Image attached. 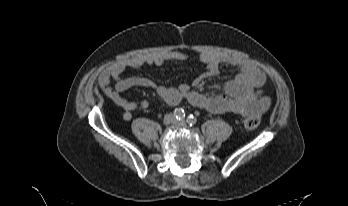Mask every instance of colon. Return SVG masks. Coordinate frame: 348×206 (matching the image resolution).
I'll use <instances>...</instances> for the list:
<instances>
[{
  "label": "colon",
  "mask_w": 348,
  "mask_h": 206,
  "mask_svg": "<svg viewBox=\"0 0 348 206\" xmlns=\"http://www.w3.org/2000/svg\"><path fill=\"white\" fill-rule=\"evenodd\" d=\"M260 125V117L258 115H250L244 119V126L248 130H254Z\"/></svg>",
  "instance_id": "colon-1"
}]
</instances>
